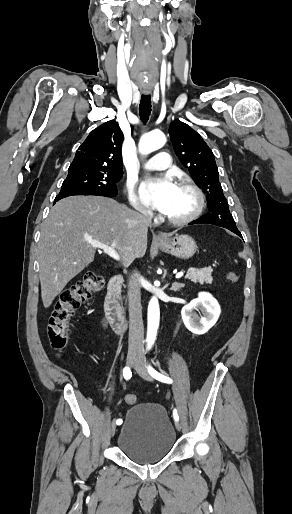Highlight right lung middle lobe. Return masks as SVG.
I'll return each mask as SVG.
<instances>
[{
    "instance_id": "obj_1",
    "label": "right lung middle lobe",
    "mask_w": 292,
    "mask_h": 514,
    "mask_svg": "<svg viewBox=\"0 0 292 514\" xmlns=\"http://www.w3.org/2000/svg\"><path fill=\"white\" fill-rule=\"evenodd\" d=\"M123 173H68L55 199L73 195H117Z\"/></svg>"
}]
</instances>
